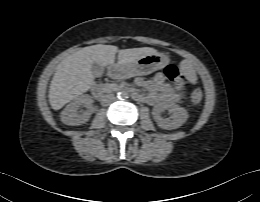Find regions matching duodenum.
Instances as JSON below:
<instances>
[{"label":"duodenum","instance_id":"obj_1","mask_svg":"<svg viewBox=\"0 0 260 202\" xmlns=\"http://www.w3.org/2000/svg\"><path fill=\"white\" fill-rule=\"evenodd\" d=\"M109 74L111 77H114V78L119 77L122 74V69L119 67H111ZM93 90L97 96L102 95V90L98 89L97 87H93ZM132 94L135 98L138 99L139 92L133 91Z\"/></svg>","mask_w":260,"mask_h":202}]
</instances>
